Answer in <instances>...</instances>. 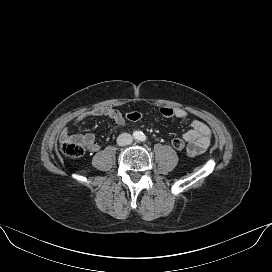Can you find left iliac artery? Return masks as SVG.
<instances>
[{"mask_svg":"<svg viewBox=\"0 0 272 272\" xmlns=\"http://www.w3.org/2000/svg\"><path fill=\"white\" fill-rule=\"evenodd\" d=\"M140 140H141V141H145V140H146V136H145V135H142V136L140 137Z\"/></svg>","mask_w":272,"mask_h":272,"instance_id":"left-iliac-artery-1","label":"left iliac artery"}]
</instances>
